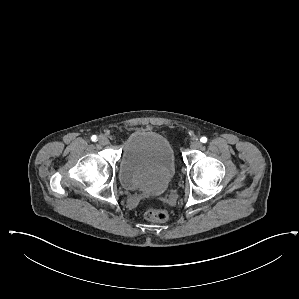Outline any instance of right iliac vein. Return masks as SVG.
I'll list each match as a JSON object with an SVG mask.
<instances>
[{"mask_svg": "<svg viewBox=\"0 0 299 299\" xmlns=\"http://www.w3.org/2000/svg\"><path fill=\"white\" fill-rule=\"evenodd\" d=\"M98 142H99L100 145H108L109 144L108 138L104 135H100L98 137Z\"/></svg>", "mask_w": 299, "mask_h": 299, "instance_id": "1", "label": "right iliac vein"}]
</instances>
